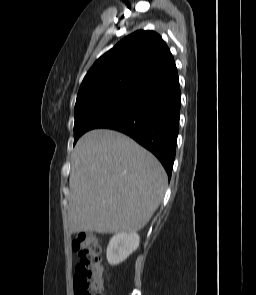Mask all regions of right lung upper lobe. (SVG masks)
I'll list each match as a JSON object with an SVG mask.
<instances>
[{"label": "right lung upper lobe", "mask_w": 256, "mask_h": 295, "mask_svg": "<svg viewBox=\"0 0 256 295\" xmlns=\"http://www.w3.org/2000/svg\"><path fill=\"white\" fill-rule=\"evenodd\" d=\"M173 62L159 34L136 31L94 63L82 81L76 103L94 104L122 93L137 92Z\"/></svg>", "instance_id": "cb5924a9"}]
</instances>
